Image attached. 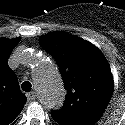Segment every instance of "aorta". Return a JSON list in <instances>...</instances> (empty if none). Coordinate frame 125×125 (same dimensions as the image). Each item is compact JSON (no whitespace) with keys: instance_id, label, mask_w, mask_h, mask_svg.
Returning a JSON list of instances; mask_svg holds the SVG:
<instances>
[{"instance_id":"obj_1","label":"aorta","mask_w":125,"mask_h":125,"mask_svg":"<svg viewBox=\"0 0 125 125\" xmlns=\"http://www.w3.org/2000/svg\"><path fill=\"white\" fill-rule=\"evenodd\" d=\"M29 60L34 65V82L40 103L47 109H59L65 99V90L55 64L34 54Z\"/></svg>"}]
</instances>
